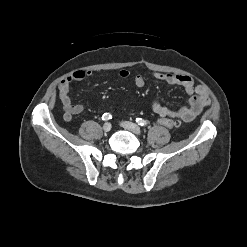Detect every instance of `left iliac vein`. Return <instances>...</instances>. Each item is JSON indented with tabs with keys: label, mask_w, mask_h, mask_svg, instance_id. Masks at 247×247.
Returning <instances> with one entry per match:
<instances>
[{
	"label": "left iliac vein",
	"mask_w": 247,
	"mask_h": 247,
	"mask_svg": "<svg viewBox=\"0 0 247 247\" xmlns=\"http://www.w3.org/2000/svg\"><path fill=\"white\" fill-rule=\"evenodd\" d=\"M121 126L129 131H131L132 133L136 134V135H140L141 134V128L136 125L135 123L129 122V121H124L121 123Z\"/></svg>",
	"instance_id": "1"
}]
</instances>
